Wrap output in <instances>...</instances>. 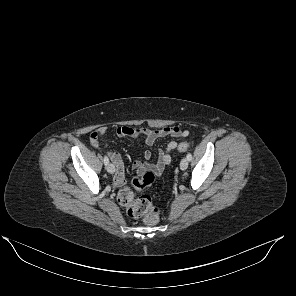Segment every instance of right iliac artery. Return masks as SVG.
Instances as JSON below:
<instances>
[{
	"mask_svg": "<svg viewBox=\"0 0 296 296\" xmlns=\"http://www.w3.org/2000/svg\"><path fill=\"white\" fill-rule=\"evenodd\" d=\"M108 163H109V159H108V157H107V156H104V164H105V165H108Z\"/></svg>",
	"mask_w": 296,
	"mask_h": 296,
	"instance_id": "82829eb1",
	"label": "right iliac artery"
}]
</instances>
